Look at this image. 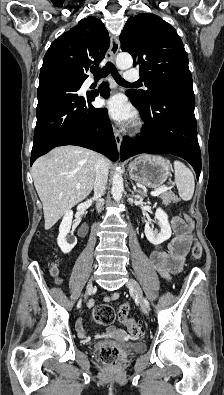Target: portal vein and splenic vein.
I'll use <instances>...</instances> for the list:
<instances>
[{
  "label": "portal vein and splenic vein",
  "mask_w": 224,
  "mask_h": 395,
  "mask_svg": "<svg viewBox=\"0 0 224 395\" xmlns=\"http://www.w3.org/2000/svg\"><path fill=\"white\" fill-rule=\"evenodd\" d=\"M76 188H77V189H80V186H76ZM166 190H167L166 187H165V188H161V189H158V190H156V191H152V192H151V195H152V196H158V195H160L161 193L165 192Z\"/></svg>",
  "instance_id": "obj_1"
}]
</instances>
